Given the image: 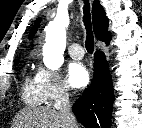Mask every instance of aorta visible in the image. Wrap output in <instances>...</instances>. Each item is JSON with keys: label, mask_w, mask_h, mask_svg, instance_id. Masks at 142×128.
I'll list each match as a JSON object with an SVG mask.
<instances>
[{"label": "aorta", "mask_w": 142, "mask_h": 128, "mask_svg": "<svg viewBox=\"0 0 142 128\" xmlns=\"http://www.w3.org/2000/svg\"><path fill=\"white\" fill-rule=\"evenodd\" d=\"M68 25V15L59 13L46 27V42L43 47L44 63L51 70H58L64 62L63 53L66 48Z\"/></svg>", "instance_id": "762f6f07"}]
</instances>
